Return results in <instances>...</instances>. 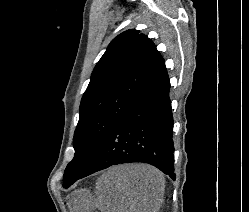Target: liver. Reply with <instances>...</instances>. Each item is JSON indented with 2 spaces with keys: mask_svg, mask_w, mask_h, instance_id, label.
Masks as SVG:
<instances>
[{
  "mask_svg": "<svg viewBox=\"0 0 249 212\" xmlns=\"http://www.w3.org/2000/svg\"><path fill=\"white\" fill-rule=\"evenodd\" d=\"M164 188L163 174L153 166H112L96 184V208L100 212H159Z\"/></svg>",
  "mask_w": 249,
  "mask_h": 212,
  "instance_id": "liver-1",
  "label": "liver"
}]
</instances>
